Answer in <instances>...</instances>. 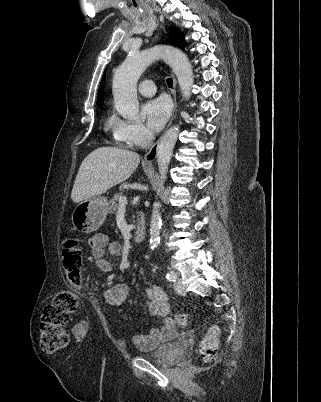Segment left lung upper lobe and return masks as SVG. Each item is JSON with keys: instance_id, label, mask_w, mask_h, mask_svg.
Here are the masks:
<instances>
[{"instance_id": "5c2ea615", "label": "left lung upper lobe", "mask_w": 321, "mask_h": 402, "mask_svg": "<svg viewBox=\"0 0 321 402\" xmlns=\"http://www.w3.org/2000/svg\"><path fill=\"white\" fill-rule=\"evenodd\" d=\"M169 35H170L171 41L175 45H178L180 47H185L186 46V43L184 41V35L178 28H175V27L171 28L170 32H169Z\"/></svg>"}]
</instances>
